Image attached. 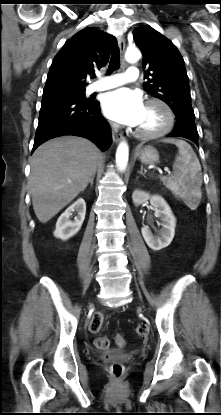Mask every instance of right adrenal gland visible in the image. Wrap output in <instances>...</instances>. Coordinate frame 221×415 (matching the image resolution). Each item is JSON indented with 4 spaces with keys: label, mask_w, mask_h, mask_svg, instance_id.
<instances>
[{
    "label": "right adrenal gland",
    "mask_w": 221,
    "mask_h": 415,
    "mask_svg": "<svg viewBox=\"0 0 221 415\" xmlns=\"http://www.w3.org/2000/svg\"><path fill=\"white\" fill-rule=\"evenodd\" d=\"M94 178H95V174H93V176L89 180V183H90V186L91 187L93 186V180H94Z\"/></svg>",
    "instance_id": "1"
}]
</instances>
